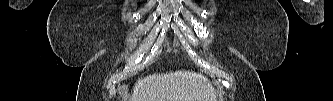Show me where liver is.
<instances>
[{
	"mask_svg": "<svg viewBox=\"0 0 333 101\" xmlns=\"http://www.w3.org/2000/svg\"><path fill=\"white\" fill-rule=\"evenodd\" d=\"M130 101H214V90L201 74L175 71L139 78Z\"/></svg>",
	"mask_w": 333,
	"mask_h": 101,
	"instance_id": "6515ba94",
	"label": "liver"
}]
</instances>
